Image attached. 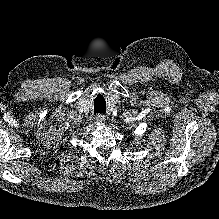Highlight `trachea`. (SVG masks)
Returning <instances> with one entry per match:
<instances>
[{"mask_svg":"<svg viewBox=\"0 0 219 219\" xmlns=\"http://www.w3.org/2000/svg\"><path fill=\"white\" fill-rule=\"evenodd\" d=\"M105 109L95 107V113H104Z\"/></svg>","mask_w":219,"mask_h":219,"instance_id":"3493384b","label":"trachea"}]
</instances>
